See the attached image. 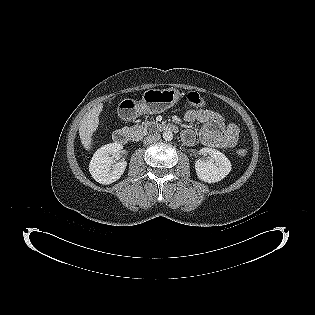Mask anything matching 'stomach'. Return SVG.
<instances>
[{"label":"stomach","instance_id":"stomach-1","mask_svg":"<svg viewBox=\"0 0 315 315\" xmlns=\"http://www.w3.org/2000/svg\"><path fill=\"white\" fill-rule=\"evenodd\" d=\"M179 97V91L173 88L149 90L144 94L142 102L135 99L123 100L118 106L117 113L123 121H137L144 117L145 112L160 113L174 106Z\"/></svg>","mask_w":315,"mask_h":315}]
</instances>
